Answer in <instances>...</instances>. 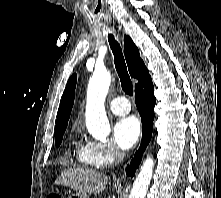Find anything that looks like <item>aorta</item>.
Masks as SVG:
<instances>
[{
    "label": "aorta",
    "instance_id": "1",
    "mask_svg": "<svg viewBox=\"0 0 221 198\" xmlns=\"http://www.w3.org/2000/svg\"><path fill=\"white\" fill-rule=\"evenodd\" d=\"M111 82L110 73L96 69L88 83L86 127L92 137L105 141L110 134V125L105 112V99ZM153 158L148 156L138 173L129 198H144L153 174Z\"/></svg>",
    "mask_w": 221,
    "mask_h": 198
}]
</instances>
